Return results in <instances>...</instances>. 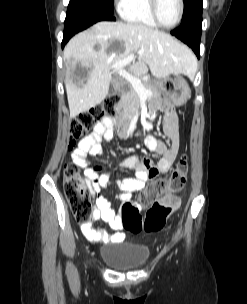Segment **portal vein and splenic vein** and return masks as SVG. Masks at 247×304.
Segmentation results:
<instances>
[{
    "mask_svg": "<svg viewBox=\"0 0 247 304\" xmlns=\"http://www.w3.org/2000/svg\"><path fill=\"white\" fill-rule=\"evenodd\" d=\"M133 59H134V53H131L126 58L113 64L110 68L119 69L118 74L121 75L123 78H125L132 85L133 89L137 92L139 96L151 97L152 91L146 89L140 79L131 75L129 72L123 69V67L131 63Z\"/></svg>",
    "mask_w": 247,
    "mask_h": 304,
    "instance_id": "1",
    "label": "portal vein and splenic vein"
}]
</instances>
